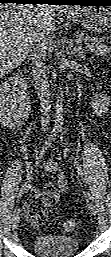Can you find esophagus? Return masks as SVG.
<instances>
[{"label":"esophagus","instance_id":"34e87169","mask_svg":"<svg viewBox=\"0 0 111 257\" xmlns=\"http://www.w3.org/2000/svg\"><path fill=\"white\" fill-rule=\"evenodd\" d=\"M61 9H63V10H66V9H68L67 7H60Z\"/></svg>","mask_w":111,"mask_h":257}]
</instances>
